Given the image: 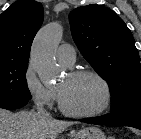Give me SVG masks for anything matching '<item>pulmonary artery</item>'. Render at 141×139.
Instances as JSON below:
<instances>
[{"instance_id":"pulmonary-artery-1","label":"pulmonary artery","mask_w":141,"mask_h":139,"mask_svg":"<svg viewBox=\"0 0 141 139\" xmlns=\"http://www.w3.org/2000/svg\"><path fill=\"white\" fill-rule=\"evenodd\" d=\"M56 57L60 63L71 67L76 60L75 50L69 44H62L57 49Z\"/></svg>"}]
</instances>
